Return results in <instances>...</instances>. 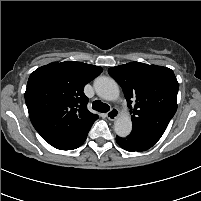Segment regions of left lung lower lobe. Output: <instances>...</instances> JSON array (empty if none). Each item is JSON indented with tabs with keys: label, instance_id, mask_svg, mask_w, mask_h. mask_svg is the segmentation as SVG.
I'll list each match as a JSON object with an SVG mask.
<instances>
[{
	"label": "left lung lower lobe",
	"instance_id": "1",
	"mask_svg": "<svg viewBox=\"0 0 201 201\" xmlns=\"http://www.w3.org/2000/svg\"><path fill=\"white\" fill-rule=\"evenodd\" d=\"M163 135L155 130L133 129L125 138L116 137L121 148L129 152H141L151 148Z\"/></svg>",
	"mask_w": 201,
	"mask_h": 201
}]
</instances>
